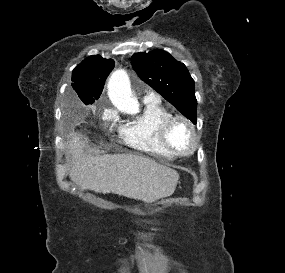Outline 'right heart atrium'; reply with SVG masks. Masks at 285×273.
I'll return each mask as SVG.
<instances>
[{
  "label": "right heart atrium",
  "mask_w": 285,
  "mask_h": 273,
  "mask_svg": "<svg viewBox=\"0 0 285 273\" xmlns=\"http://www.w3.org/2000/svg\"><path fill=\"white\" fill-rule=\"evenodd\" d=\"M114 117H115V113L112 110H110V109L105 110L104 113H103V120L104 121H110Z\"/></svg>",
  "instance_id": "1"
}]
</instances>
